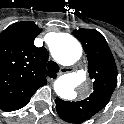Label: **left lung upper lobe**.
<instances>
[{
	"label": "left lung upper lobe",
	"instance_id": "1",
	"mask_svg": "<svg viewBox=\"0 0 124 124\" xmlns=\"http://www.w3.org/2000/svg\"><path fill=\"white\" fill-rule=\"evenodd\" d=\"M88 60V72L93 79V92L77 102L56 98L58 115L66 122L80 124L102 110L109 102L117 85V68L114 57L101 33L92 29L74 30Z\"/></svg>",
	"mask_w": 124,
	"mask_h": 124
}]
</instances>
